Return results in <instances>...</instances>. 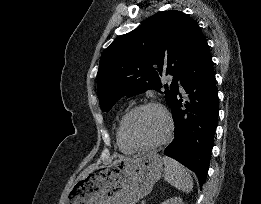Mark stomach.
<instances>
[{
  "instance_id": "stomach-1",
  "label": "stomach",
  "mask_w": 261,
  "mask_h": 204,
  "mask_svg": "<svg viewBox=\"0 0 261 204\" xmlns=\"http://www.w3.org/2000/svg\"><path fill=\"white\" fill-rule=\"evenodd\" d=\"M163 171V159L150 152L97 167L79 179L66 204H136L149 194Z\"/></svg>"
}]
</instances>
